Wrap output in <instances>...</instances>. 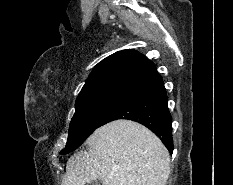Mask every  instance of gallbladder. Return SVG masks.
<instances>
[{
  "label": "gallbladder",
  "instance_id": "gallbladder-1",
  "mask_svg": "<svg viewBox=\"0 0 233 185\" xmlns=\"http://www.w3.org/2000/svg\"><path fill=\"white\" fill-rule=\"evenodd\" d=\"M87 185H102V181L100 179H96V180L91 181Z\"/></svg>",
  "mask_w": 233,
  "mask_h": 185
}]
</instances>
